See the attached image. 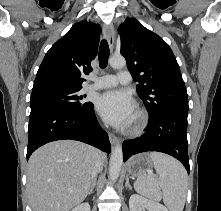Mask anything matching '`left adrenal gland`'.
Instances as JSON below:
<instances>
[{"label": "left adrenal gland", "mask_w": 221, "mask_h": 211, "mask_svg": "<svg viewBox=\"0 0 221 211\" xmlns=\"http://www.w3.org/2000/svg\"><path fill=\"white\" fill-rule=\"evenodd\" d=\"M125 187H126V188H129V190L132 189V187H131L130 184H129V176H128V175L126 176Z\"/></svg>", "instance_id": "left-adrenal-gland-1"}]
</instances>
